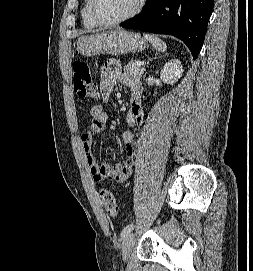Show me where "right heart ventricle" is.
Listing matches in <instances>:
<instances>
[{"instance_id":"e07e8e85","label":"right heart ventricle","mask_w":253,"mask_h":271,"mask_svg":"<svg viewBox=\"0 0 253 271\" xmlns=\"http://www.w3.org/2000/svg\"><path fill=\"white\" fill-rule=\"evenodd\" d=\"M90 4L91 0H84L82 9H81V17H82V23L85 28L87 29H95L99 27V24L95 22L91 15L90 11Z\"/></svg>"}]
</instances>
